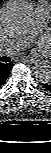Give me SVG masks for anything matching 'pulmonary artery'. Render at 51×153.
Instances as JSON below:
<instances>
[{"mask_svg": "<svg viewBox=\"0 0 51 153\" xmlns=\"http://www.w3.org/2000/svg\"><path fill=\"white\" fill-rule=\"evenodd\" d=\"M51 8L47 3L39 4L35 10L34 20H33V32L36 34L44 28L50 19ZM27 43L26 39L19 40H7L0 45V52L2 53H12L22 49Z\"/></svg>", "mask_w": 51, "mask_h": 153, "instance_id": "1", "label": "pulmonary artery"}]
</instances>
